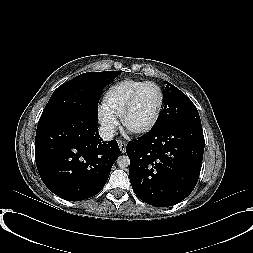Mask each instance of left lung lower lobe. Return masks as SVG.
I'll list each match as a JSON object with an SVG mask.
<instances>
[{"label": "left lung lower lobe", "instance_id": "1", "mask_svg": "<svg viewBox=\"0 0 253 253\" xmlns=\"http://www.w3.org/2000/svg\"><path fill=\"white\" fill-rule=\"evenodd\" d=\"M204 146L202 125L192 122L150 130L130 141L126 152L133 191L156 207L179 203L197 183Z\"/></svg>", "mask_w": 253, "mask_h": 253}]
</instances>
